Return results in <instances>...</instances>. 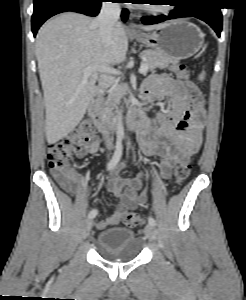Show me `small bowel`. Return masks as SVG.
<instances>
[{
    "label": "small bowel",
    "instance_id": "c3829d8e",
    "mask_svg": "<svg viewBox=\"0 0 246 300\" xmlns=\"http://www.w3.org/2000/svg\"><path fill=\"white\" fill-rule=\"evenodd\" d=\"M142 96L147 101L166 98L170 107L167 112L158 111L154 117L147 116L136 130L142 152L161 159L159 176L161 180H166L177 164L188 161L200 149L205 113L202 108L199 112L194 108L187 85L173 80L167 74L151 76ZM100 144V139H93L78 156L98 152ZM124 166L125 163L121 162L116 167L107 184L108 191L119 199V203L109 217L96 223L97 229L117 225L127 210L136 208L146 200L142 180L150 179L152 172L144 170L137 178H121L118 173ZM55 177L64 190L77 198L81 196L82 188L77 175L74 178Z\"/></svg>",
    "mask_w": 246,
    "mask_h": 300
}]
</instances>
